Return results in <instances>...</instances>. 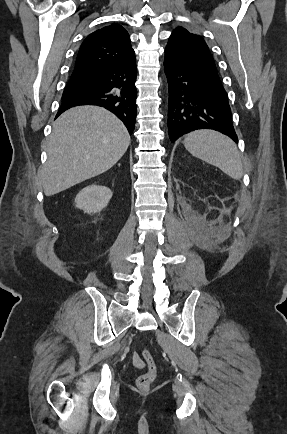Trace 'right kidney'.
I'll list each match as a JSON object with an SVG mask.
<instances>
[{
	"instance_id": "right-kidney-1",
	"label": "right kidney",
	"mask_w": 287,
	"mask_h": 434,
	"mask_svg": "<svg viewBox=\"0 0 287 434\" xmlns=\"http://www.w3.org/2000/svg\"><path fill=\"white\" fill-rule=\"evenodd\" d=\"M112 197V191L102 185L91 184L75 197V206L88 214L98 213L105 208Z\"/></svg>"
}]
</instances>
